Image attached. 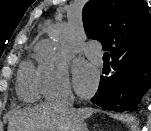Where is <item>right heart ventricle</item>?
<instances>
[{
	"instance_id": "e07e8e85",
	"label": "right heart ventricle",
	"mask_w": 151,
	"mask_h": 131,
	"mask_svg": "<svg viewBox=\"0 0 151 131\" xmlns=\"http://www.w3.org/2000/svg\"><path fill=\"white\" fill-rule=\"evenodd\" d=\"M17 93L21 99L27 102H34L42 94L37 74L31 62H25L19 71L17 79Z\"/></svg>"
}]
</instances>
